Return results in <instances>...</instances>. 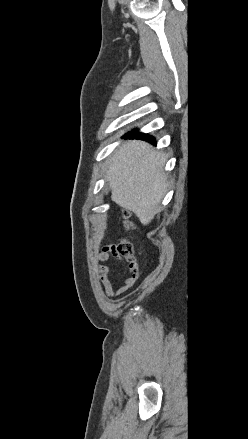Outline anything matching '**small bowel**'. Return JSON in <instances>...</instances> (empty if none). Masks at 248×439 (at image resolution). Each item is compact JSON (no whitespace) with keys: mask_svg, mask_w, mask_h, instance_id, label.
I'll return each mask as SVG.
<instances>
[{"mask_svg":"<svg viewBox=\"0 0 248 439\" xmlns=\"http://www.w3.org/2000/svg\"><path fill=\"white\" fill-rule=\"evenodd\" d=\"M97 260L100 262L115 261L126 264L128 276L122 281V285L118 289H114L111 280L109 279V267L107 265H99L97 273L100 276L102 287L108 297H115L126 292L131 288L138 277V265H131L118 251L116 246L104 247L97 255Z\"/></svg>","mask_w":248,"mask_h":439,"instance_id":"small-bowel-1","label":"small bowel"}]
</instances>
